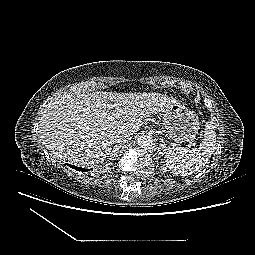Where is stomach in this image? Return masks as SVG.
<instances>
[{"label": "stomach", "mask_w": 255, "mask_h": 255, "mask_svg": "<svg viewBox=\"0 0 255 255\" xmlns=\"http://www.w3.org/2000/svg\"><path fill=\"white\" fill-rule=\"evenodd\" d=\"M161 113L166 132L174 141H191L198 134L200 123L197 114L181 103L174 101Z\"/></svg>", "instance_id": "0dacf381"}]
</instances>
